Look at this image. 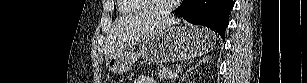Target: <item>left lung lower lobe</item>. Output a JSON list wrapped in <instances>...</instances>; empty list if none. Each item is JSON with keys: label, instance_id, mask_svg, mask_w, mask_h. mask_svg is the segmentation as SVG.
Here are the masks:
<instances>
[{"label": "left lung lower lobe", "instance_id": "0a47b994", "mask_svg": "<svg viewBox=\"0 0 307 83\" xmlns=\"http://www.w3.org/2000/svg\"><path fill=\"white\" fill-rule=\"evenodd\" d=\"M233 5V0H183L173 13L192 24L218 32L224 40Z\"/></svg>", "mask_w": 307, "mask_h": 83}]
</instances>
